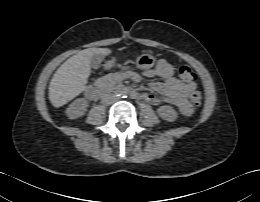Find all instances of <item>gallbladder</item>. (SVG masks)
I'll return each mask as SVG.
<instances>
[{
  "label": "gallbladder",
  "mask_w": 260,
  "mask_h": 202,
  "mask_svg": "<svg viewBox=\"0 0 260 202\" xmlns=\"http://www.w3.org/2000/svg\"><path fill=\"white\" fill-rule=\"evenodd\" d=\"M104 56L102 54H95L90 59V66L92 69L97 70L100 67L101 61L103 60Z\"/></svg>",
  "instance_id": "obj_1"
}]
</instances>
